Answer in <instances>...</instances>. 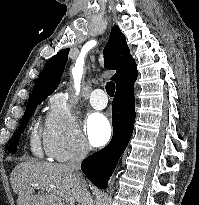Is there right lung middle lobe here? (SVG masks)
Returning <instances> with one entry per match:
<instances>
[{"label":"right lung middle lobe","instance_id":"obj_1","mask_svg":"<svg viewBox=\"0 0 199 205\" xmlns=\"http://www.w3.org/2000/svg\"><path fill=\"white\" fill-rule=\"evenodd\" d=\"M44 99H37V100H32L29 101L27 103L26 106V111L22 117V120L20 122V125L17 129V131L15 132V134L13 135V137L11 138V141L9 143V147H8V151L11 153H15L16 149H17V144H18V140L21 136V133L24 131L29 119L31 118V116L33 115L36 106L39 105Z\"/></svg>","mask_w":199,"mask_h":205}]
</instances>
